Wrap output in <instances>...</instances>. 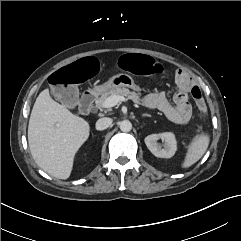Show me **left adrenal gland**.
I'll return each mask as SVG.
<instances>
[{"mask_svg":"<svg viewBox=\"0 0 241 241\" xmlns=\"http://www.w3.org/2000/svg\"><path fill=\"white\" fill-rule=\"evenodd\" d=\"M142 116L143 117H151V115H149V114H143Z\"/></svg>","mask_w":241,"mask_h":241,"instance_id":"1","label":"left adrenal gland"}]
</instances>
